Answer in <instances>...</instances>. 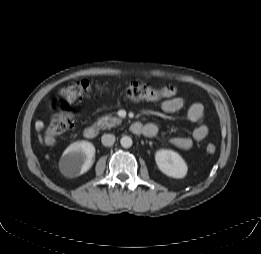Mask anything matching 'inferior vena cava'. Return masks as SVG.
Listing matches in <instances>:
<instances>
[{"label":"inferior vena cava","mask_w":261,"mask_h":254,"mask_svg":"<svg viewBox=\"0 0 261 254\" xmlns=\"http://www.w3.org/2000/svg\"><path fill=\"white\" fill-rule=\"evenodd\" d=\"M101 142L104 146H112L115 142V136L112 134H104L101 138Z\"/></svg>","instance_id":"1"}]
</instances>
